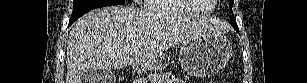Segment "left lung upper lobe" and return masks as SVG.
<instances>
[{
    "instance_id": "obj_1",
    "label": "left lung upper lobe",
    "mask_w": 307,
    "mask_h": 83,
    "mask_svg": "<svg viewBox=\"0 0 307 83\" xmlns=\"http://www.w3.org/2000/svg\"><path fill=\"white\" fill-rule=\"evenodd\" d=\"M233 3H234V0H230V6L232 7L233 6ZM230 23L233 27H235L236 29H238V26L236 24V21L234 20V17L233 15L231 16V20H230Z\"/></svg>"
}]
</instances>
